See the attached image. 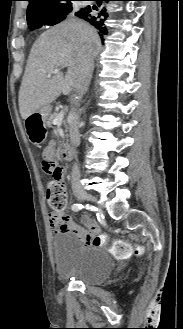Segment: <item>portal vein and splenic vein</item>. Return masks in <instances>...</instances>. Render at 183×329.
I'll list each match as a JSON object with an SVG mask.
<instances>
[{
	"instance_id": "1",
	"label": "portal vein and splenic vein",
	"mask_w": 183,
	"mask_h": 329,
	"mask_svg": "<svg viewBox=\"0 0 183 329\" xmlns=\"http://www.w3.org/2000/svg\"><path fill=\"white\" fill-rule=\"evenodd\" d=\"M59 71H60L59 68H54V69H52V70L50 71L49 76H51V74L58 73ZM63 118H64V112L61 111V112L58 114V116L53 120L52 123H53L54 125H59V124L62 123Z\"/></svg>"
}]
</instances>
